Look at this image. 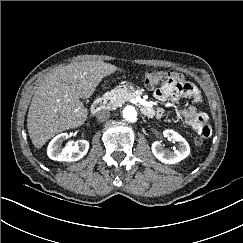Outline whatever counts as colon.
<instances>
[{
    "label": "colon",
    "instance_id": "colon-1",
    "mask_svg": "<svg viewBox=\"0 0 243 243\" xmlns=\"http://www.w3.org/2000/svg\"><path fill=\"white\" fill-rule=\"evenodd\" d=\"M166 78V73L160 70H149L145 73L144 84L147 88L153 89L159 85ZM205 139L203 136L198 135L195 137L194 142L196 145L201 146L204 144Z\"/></svg>",
    "mask_w": 243,
    "mask_h": 243
}]
</instances>
